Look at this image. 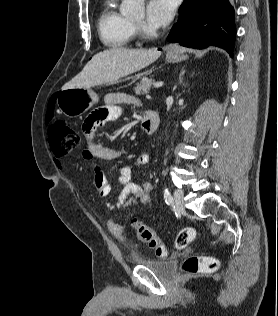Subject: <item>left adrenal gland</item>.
<instances>
[{"label": "left adrenal gland", "mask_w": 278, "mask_h": 316, "mask_svg": "<svg viewBox=\"0 0 278 316\" xmlns=\"http://www.w3.org/2000/svg\"><path fill=\"white\" fill-rule=\"evenodd\" d=\"M184 74V71H182V73L180 74V82H182V75Z\"/></svg>", "instance_id": "left-adrenal-gland-1"}]
</instances>
